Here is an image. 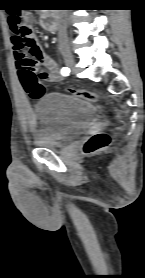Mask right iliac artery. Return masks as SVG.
<instances>
[{
    "label": "right iliac artery",
    "instance_id": "obj_1",
    "mask_svg": "<svg viewBox=\"0 0 145 278\" xmlns=\"http://www.w3.org/2000/svg\"><path fill=\"white\" fill-rule=\"evenodd\" d=\"M69 73H70V69H69L68 67H63V68L61 69V74H62L63 76H68Z\"/></svg>",
    "mask_w": 145,
    "mask_h": 278
}]
</instances>
